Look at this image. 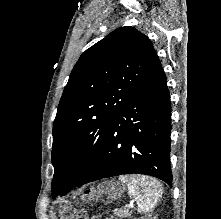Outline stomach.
Wrapping results in <instances>:
<instances>
[{"label": "stomach", "mask_w": 221, "mask_h": 219, "mask_svg": "<svg viewBox=\"0 0 221 219\" xmlns=\"http://www.w3.org/2000/svg\"><path fill=\"white\" fill-rule=\"evenodd\" d=\"M118 184L113 183L110 191L114 193V195H121V189L117 187Z\"/></svg>", "instance_id": "obj_1"}]
</instances>
